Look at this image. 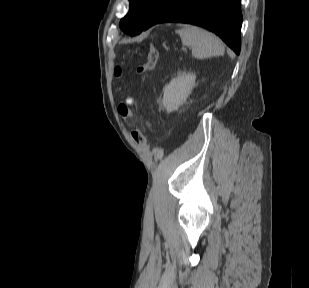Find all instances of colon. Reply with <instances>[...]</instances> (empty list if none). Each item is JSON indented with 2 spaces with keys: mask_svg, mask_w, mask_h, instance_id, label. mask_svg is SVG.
<instances>
[{
  "mask_svg": "<svg viewBox=\"0 0 309 288\" xmlns=\"http://www.w3.org/2000/svg\"><path fill=\"white\" fill-rule=\"evenodd\" d=\"M158 57H159L158 51L155 48L150 47L147 50L145 59L136 68V74L138 76H142V75H145V74L149 73L150 71H152L157 64ZM115 73H116L117 76L121 77L123 75V69L119 67L115 70ZM120 113L124 117H131V112H130V110L128 109L127 106H122L120 108ZM132 137L137 144H139L141 146H146V138L138 128H135L133 130Z\"/></svg>",
  "mask_w": 309,
  "mask_h": 288,
  "instance_id": "1",
  "label": "colon"
}]
</instances>
